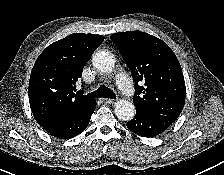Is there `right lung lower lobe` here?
<instances>
[{
	"label": "right lung lower lobe",
	"mask_w": 224,
	"mask_h": 175,
	"mask_svg": "<svg viewBox=\"0 0 224 175\" xmlns=\"http://www.w3.org/2000/svg\"><path fill=\"white\" fill-rule=\"evenodd\" d=\"M95 108L96 103L81 112L66 115L43 128L51 135L60 139L75 137L86 129Z\"/></svg>",
	"instance_id": "obj_1"
}]
</instances>
